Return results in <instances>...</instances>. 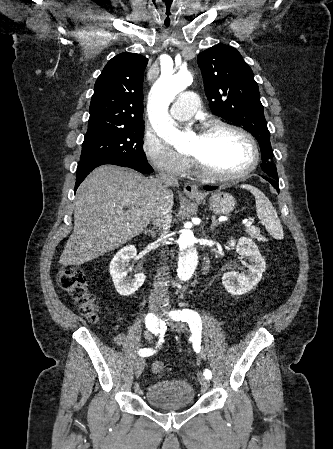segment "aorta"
I'll use <instances>...</instances> for the list:
<instances>
[{
	"label": "aorta",
	"instance_id": "1",
	"mask_svg": "<svg viewBox=\"0 0 333 449\" xmlns=\"http://www.w3.org/2000/svg\"><path fill=\"white\" fill-rule=\"evenodd\" d=\"M193 79V70L180 71L176 74L172 69H162L160 78L151 88L148 100V115L157 134L184 152L190 147L188 137L180 132L170 118L168 109L175 96L183 91ZM178 249V276L181 281L189 280L198 264L196 237L188 224L180 227L176 234Z\"/></svg>",
	"mask_w": 333,
	"mask_h": 449
}]
</instances>
